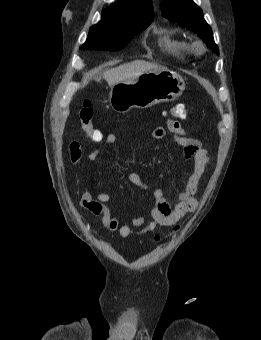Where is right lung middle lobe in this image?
<instances>
[{"label":"right lung middle lobe","mask_w":261,"mask_h":340,"mask_svg":"<svg viewBox=\"0 0 261 340\" xmlns=\"http://www.w3.org/2000/svg\"><path fill=\"white\" fill-rule=\"evenodd\" d=\"M151 21H104L92 26L80 49L120 50L132 38L150 25Z\"/></svg>","instance_id":"1"}]
</instances>
